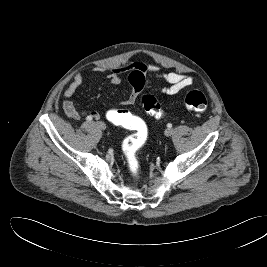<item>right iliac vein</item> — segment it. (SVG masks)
Wrapping results in <instances>:
<instances>
[{"instance_id":"right-iliac-vein-1","label":"right iliac vein","mask_w":267,"mask_h":267,"mask_svg":"<svg viewBox=\"0 0 267 267\" xmlns=\"http://www.w3.org/2000/svg\"><path fill=\"white\" fill-rule=\"evenodd\" d=\"M97 126L101 129V130H105L106 129V124L102 121L97 122Z\"/></svg>"}]
</instances>
